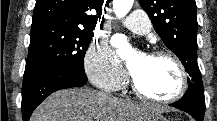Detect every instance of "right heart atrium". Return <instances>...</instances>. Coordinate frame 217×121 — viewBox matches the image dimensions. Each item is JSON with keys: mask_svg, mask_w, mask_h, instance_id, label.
I'll return each instance as SVG.
<instances>
[{"mask_svg": "<svg viewBox=\"0 0 217 121\" xmlns=\"http://www.w3.org/2000/svg\"><path fill=\"white\" fill-rule=\"evenodd\" d=\"M84 67L89 79L107 90H116L125 81V73L106 41L97 42L88 49Z\"/></svg>", "mask_w": 217, "mask_h": 121, "instance_id": "right-heart-atrium-1", "label": "right heart atrium"}]
</instances>
